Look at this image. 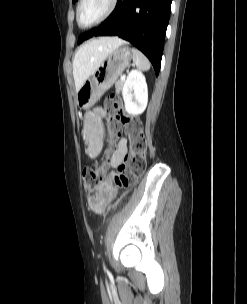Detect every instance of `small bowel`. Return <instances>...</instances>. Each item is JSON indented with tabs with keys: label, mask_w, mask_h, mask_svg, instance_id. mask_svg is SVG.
Instances as JSON below:
<instances>
[{
	"label": "small bowel",
	"mask_w": 247,
	"mask_h": 304,
	"mask_svg": "<svg viewBox=\"0 0 247 304\" xmlns=\"http://www.w3.org/2000/svg\"><path fill=\"white\" fill-rule=\"evenodd\" d=\"M103 115L104 110L97 108L93 112L88 113L86 117L83 137L86 143V154L91 159L99 156L103 148V131L101 121ZM127 151V140L122 138L116 151L112 155L111 165L113 167L119 166L127 155Z\"/></svg>",
	"instance_id": "c3829d8e"
}]
</instances>
